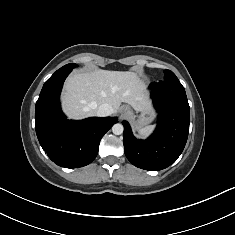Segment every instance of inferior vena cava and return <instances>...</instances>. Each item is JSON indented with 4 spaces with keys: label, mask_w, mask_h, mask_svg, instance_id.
<instances>
[{
    "label": "inferior vena cava",
    "mask_w": 235,
    "mask_h": 235,
    "mask_svg": "<svg viewBox=\"0 0 235 235\" xmlns=\"http://www.w3.org/2000/svg\"><path fill=\"white\" fill-rule=\"evenodd\" d=\"M112 113H113V108L109 104L105 103L97 108L96 115L99 117H106L110 116Z\"/></svg>",
    "instance_id": "602c4592"
}]
</instances>
